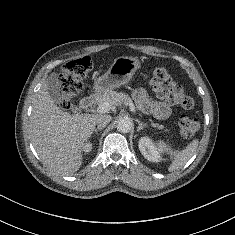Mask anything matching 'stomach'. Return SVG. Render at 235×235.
Masks as SVG:
<instances>
[{"instance_id": "1", "label": "stomach", "mask_w": 235, "mask_h": 235, "mask_svg": "<svg viewBox=\"0 0 235 235\" xmlns=\"http://www.w3.org/2000/svg\"><path fill=\"white\" fill-rule=\"evenodd\" d=\"M140 66L141 63L137 58H116L108 71L94 82L95 92L98 94L105 93L127 84Z\"/></svg>"}]
</instances>
